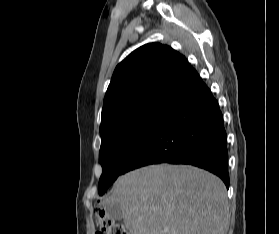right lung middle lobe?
Segmentation results:
<instances>
[{"label": "right lung middle lobe", "instance_id": "right-lung-middle-lobe-1", "mask_svg": "<svg viewBox=\"0 0 279 234\" xmlns=\"http://www.w3.org/2000/svg\"><path fill=\"white\" fill-rule=\"evenodd\" d=\"M168 107L150 105L121 113L100 126L99 161L103 168L99 195L123 173V168L138 146L159 122Z\"/></svg>", "mask_w": 279, "mask_h": 234}]
</instances>
